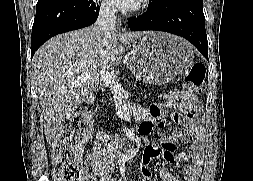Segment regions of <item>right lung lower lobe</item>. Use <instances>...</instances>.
<instances>
[{
	"mask_svg": "<svg viewBox=\"0 0 253 181\" xmlns=\"http://www.w3.org/2000/svg\"><path fill=\"white\" fill-rule=\"evenodd\" d=\"M98 15L96 0H45L37 3L32 27L31 58L51 37L90 26Z\"/></svg>",
	"mask_w": 253,
	"mask_h": 181,
	"instance_id": "obj_1",
	"label": "right lung lower lobe"
}]
</instances>
